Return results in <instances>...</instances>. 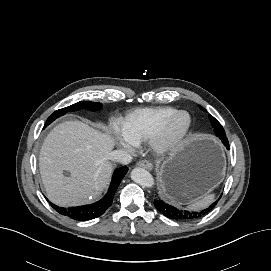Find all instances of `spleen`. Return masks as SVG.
I'll use <instances>...</instances> for the list:
<instances>
[{
  "mask_svg": "<svg viewBox=\"0 0 271 271\" xmlns=\"http://www.w3.org/2000/svg\"><path fill=\"white\" fill-rule=\"evenodd\" d=\"M214 200V194H206L200 200L194 201L189 205V209L191 210H199L209 206Z\"/></svg>",
  "mask_w": 271,
  "mask_h": 271,
  "instance_id": "1",
  "label": "spleen"
}]
</instances>
